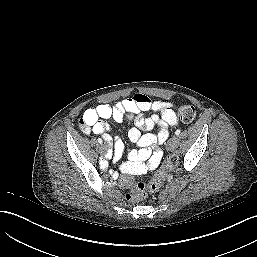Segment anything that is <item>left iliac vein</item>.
<instances>
[{
    "instance_id": "obj_1",
    "label": "left iliac vein",
    "mask_w": 257,
    "mask_h": 257,
    "mask_svg": "<svg viewBox=\"0 0 257 257\" xmlns=\"http://www.w3.org/2000/svg\"><path fill=\"white\" fill-rule=\"evenodd\" d=\"M179 143V137L178 136H173L170 141L168 142V147L170 149H175Z\"/></svg>"
}]
</instances>
